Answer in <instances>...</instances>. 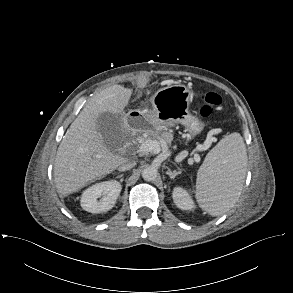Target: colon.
I'll list each match as a JSON object with an SVG mask.
<instances>
[{"mask_svg":"<svg viewBox=\"0 0 293 293\" xmlns=\"http://www.w3.org/2000/svg\"><path fill=\"white\" fill-rule=\"evenodd\" d=\"M222 103V97L217 93L209 92L203 94L200 97V114L203 117H210L221 107Z\"/></svg>","mask_w":293,"mask_h":293,"instance_id":"obj_1","label":"colon"}]
</instances>
